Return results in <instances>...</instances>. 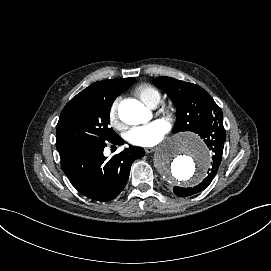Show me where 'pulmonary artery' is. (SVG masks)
Listing matches in <instances>:
<instances>
[{"label":"pulmonary artery","mask_w":271,"mask_h":271,"mask_svg":"<svg viewBox=\"0 0 271 271\" xmlns=\"http://www.w3.org/2000/svg\"><path fill=\"white\" fill-rule=\"evenodd\" d=\"M157 105H158V102L155 101V102L152 104L151 107H152V108H155Z\"/></svg>","instance_id":"pulmonary-artery-1"}]
</instances>
